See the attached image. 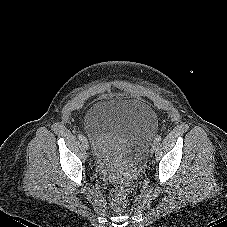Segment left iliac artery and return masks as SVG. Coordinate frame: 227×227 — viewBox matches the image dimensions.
I'll return each mask as SVG.
<instances>
[{"label":"left iliac artery","mask_w":227,"mask_h":227,"mask_svg":"<svg viewBox=\"0 0 227 227\" xmlns=\"http://www.w3.org/2000/svg\"><path fill=\"white\" fill-rule=\"evenodd\" d=\"M161 139H162L161 136L156 137V141H158V142L161 141Z\"/></svg>","instance_id":"left-iliac-artery-1"}]
</instances>
